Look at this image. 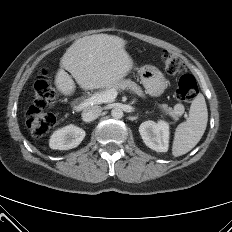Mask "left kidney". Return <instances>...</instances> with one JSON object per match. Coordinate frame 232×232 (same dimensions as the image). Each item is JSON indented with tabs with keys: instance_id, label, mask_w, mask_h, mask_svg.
<instances>
[{
	"instance_id": "1",
	"label": "left kidney",
	"mask_w": 232,
	"mask_h": 232,
	"mask_svg": "<svg viewBox=\"0 0 232 232\" xmlns=\"http://www.w3.org/2000/svg\"><path fill=\"white\" fill-rule=\"evenodd\" d=\"M140 135L150 149L156 152H167L169 146V123L159 120L145 121L139 127Z\"/></svg>"
}]
</instances>
